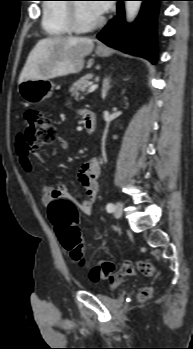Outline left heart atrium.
Here are the masks:
<instances>
[{
  "mask_svg": "<svg viewBox=\"0 0 193 349\" xmlns=\"http://www.w3.org/2000/svg\"><path fill=\"white\" fill-rule=\"evenodd\" d=\"M89 6L94 13L100 16L110 9L111 4L109 1H92Z\"/></svg>",
  "mask_w": 193,
  "mask_h": 349,
  "instance_id": "1",
  "label": "left heart atrium"
}]
</instances>
